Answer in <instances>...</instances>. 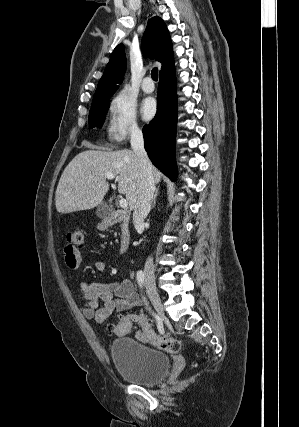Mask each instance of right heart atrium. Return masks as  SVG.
Returning <instances> with one entry per match:
<instances>
[{
  "instance_id": "1",
  "label": "right heart atrium",
  "mask_w": 299,
  "mask_h": 427,
  "mask_svg": "<svg viewBox=\"0 0 299 427\" xmlns=\"http://www.w3.org/2000/svg\"><path fill=\"white\" fill-rule=\"evenodd\" d=\"M140 133L136 106L133 99L124 91H118L107 104V136L115 144Z\"/></svg>"
}]
</instances>
